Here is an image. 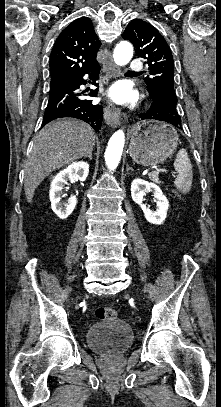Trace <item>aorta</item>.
<instances>
[{"label": "aorta", "mask_w": 221, "mask_h": 407, "mask_svg": "<svg viewBox=\"0 0 221 407\" xmlns=\"http://www.w3.org/2000/svg\"><path fill=\"white\" fill-rule=\"evenodd\" d=\"M133 56V47L127 41H121L115 47L113 58L117 65L123 66L130 62ZM125 143V135L122 130L116 131L108 142L105 151L106 166L110 170L117 168L122 156L123 147Z\"/></svg>", "instance_id": "aorta-1"}]
</instances>
